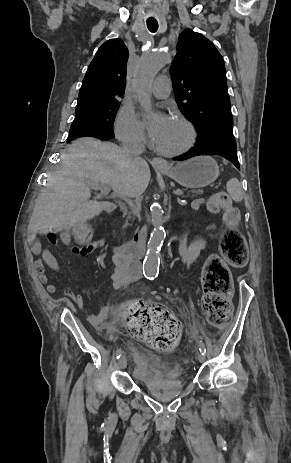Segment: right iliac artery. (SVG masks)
Segmentation results:
<instances>
[{
    "label": "right iliac artery",
    "instance_id": "right-iliac-artery-1",
    "mask_svg": "<svg viewBox=\"0 0 291 463\" xmlns=\"http://www.w3.org/2000/svg\"><path fill=\"white\" fill-rule=\"evenodd\" d=\"M121 354H122V350H121V349H117V351H116V358L119 359L120 356H121Z\"/></svg>",
    "mask_w": 291,
    "mask_h": 463
}]
</instances>
